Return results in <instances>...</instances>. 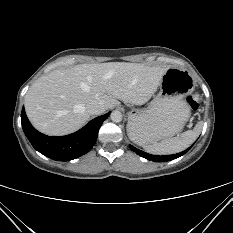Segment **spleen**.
<instances>
[{"instance_id":"1","label":"spleen","mask_w":233,"mask_h":233,"mask_svg":"<svg viewBox=\"0 0 233 233\" xmlns=\"http://www.w3.org/2000/svg\"><path fill=\"white\" fill-rule=\"evenodd\" d=\"M202 122H199L193 130H188L177 137L164 139L161 142L148 144L142 141L135 133H129L130 139L142 146L145 151L152 154L167 155L181 152L188 148L199 136Z\"/></svg>"}]
</instances>
